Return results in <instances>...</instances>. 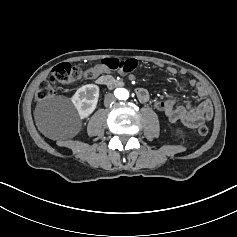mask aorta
<instances>
[{"label": "aorta", "instance_id": "762f6f07", "mask_svg": "<svg viewBox=\"0 0 237 237\" xmlns=\"http://www.w3.org/2000/svg\"><path fill=\"white\" fill-rule=\"evenodd\" d=\"M129 91L126 88H118L117 96L120 100H127L129 98Z\"/></svg>", "mask_w": 237, "mask_h": 237}]
</instances>
